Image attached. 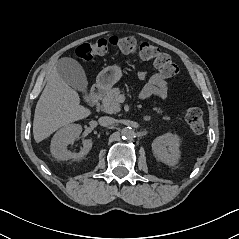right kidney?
I'll list each match as a JSON object with an SVG mask.
<instances>
[{
	"instance_id": "obj_1",
	"label": "right kidney",
	"mask_w": 239,
	"mask_h": 239,
	"mask_svg": "<svg viewBox=\"0 0 239 239\" xmlns=\"http://www.w3.org/2000/svg\"><path fill=\"white\" fill-rule=\"evenodd\" d=\"M82 132V127L79 124H68L58 130L51 140V154L57 160H80L89 153L92 148L93 142L90 139L83 141V148L80 152L73 153L67 150V146L72 144L79 138Z\"/></svg>"
}]
</instances>
